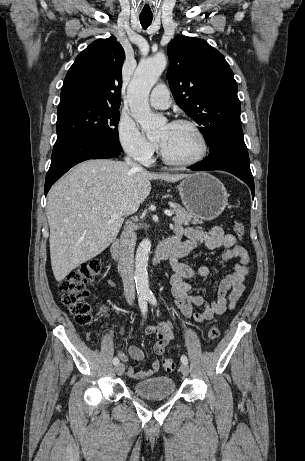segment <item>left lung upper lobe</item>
<instances>
[{"label":"left lung upper lobe","instance_id":"obj_1","mask_svg":"<svg viewBox=\"0 0 305 461\" xmlns=\"http://www.w3.org/2000/svg\"><path fill=\"white\" fill-rule=\"evenodd\" d=\"M167 50L172 94L177 105L200 125L212 155L226 130L241 127L233 72L224 56L202 39L177 36Z\"/></svg>","mask_w":305,"mask_h":461}]
</instances>
